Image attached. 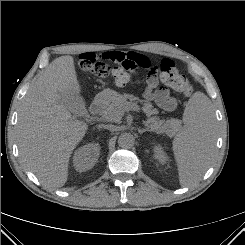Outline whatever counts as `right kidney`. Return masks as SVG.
I'll return each mask as SVG.
<instances>
[{"instance_id": "ca27d5eb", "label": "right kidney", "mask_w": 245, "mask_h": 245, "mask_svg": "<svg viewBox=\"0 0 245 245\" xmlns=\"http://www.w3.org/2000/svg\"><path fill=\"white\" fill-rule=\"evenodd\" d=\"M100 155L99 144L90 143L78 148L73 156V166L79 172L91 169Z\"/></svg>"}]
</instances>
